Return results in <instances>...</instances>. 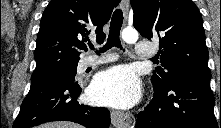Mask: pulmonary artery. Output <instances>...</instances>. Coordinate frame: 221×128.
Returning a JSON list of instances; mask_svg holds the SVG:
<instances>
[{"label": "pulmonary artery", "instance_id": "obj_1", "mask_svg": "<svg viewBox=\"0 0 221 128\" xmlns=\"http://www.w3.org/2000/svg\"><path fill=\"white\" fill-rule=\"evenodd\" d=\"M155 54H156V51L152 44L144 42V41H139L136 44V51L133 53V56L136 59L144 60V59L151 58ZM111 59H112V56L109 54L102 55L99 57H95V56L85 57L80 63V68L85 69L90 66H95V65L102 64V63H106V62L111 61Z\"/></svg>", "mask_w": 221, "mask_h": 128}]
</instances>
